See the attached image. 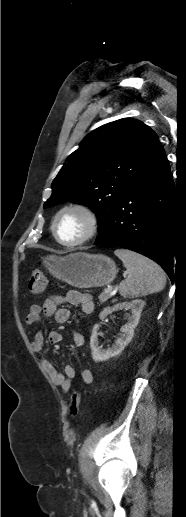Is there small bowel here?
<instances>
[{"mask_svg": "<svg viewBox=\"0 0 186 517\" xmlns=\"http://www.w3.org/2000/svg\"><path fill=\"white\" fill-rule=\"evenodd\" d=\"M64 303L80 306L84 314H91L94 310V302L90 294L70 291L65 296H50L46 297L41 304H33L25 318V323L27 325L35 324L41 320L42 315L47 317L53 316L55 321L58 323L67 322L71 317L70 309L67 307H58L60 304ZM72 339L73 345L76 348H79L84 344V337L78 332L73 333ZM61 340L62 335L58 331L52 330L49 332L48 342L50 344H58ZM31 345L36 353H41L43 351L44 336L42 332L38 331L34 334ZM41 363L51 382L60 387L63 393H68L72 386V379L76 375L74 367L72 365H66L64 367V372L61 373L49 359L43 358ZM81 379L85 384L92 383V372L86 368L82 369Z\"/></svg>", "mask_w": 186, "mask_h": 517, "instance_id": "small-bowel-1", "label": "small bowel"}]
</instances>
